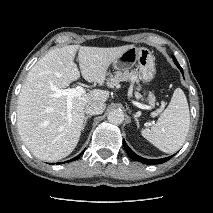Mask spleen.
I'll use <instances>...</instances> for the list:
<instances>
[{"mask_svg":"<svg viewBox=\"0 0 213 213\" xmlns=\"http://www.w3.org/2000/svg\"><path fill=\"white\" fill-rule=\"evenodd\" d=\"M190 114L182 89H175L171 101L151 129H142V136L159 150L173 153L184 144L189 131Z\"/></svg>","mask_w":213,"mask_h":213,"instance_id":"spleen-1","label":"spleen"}]
</instances>
